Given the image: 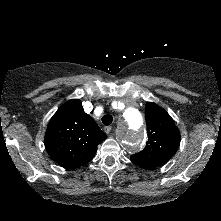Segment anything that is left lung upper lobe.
<instances>
[{"instance_id":"left-lung-upper-lobe-1","label":"left lung upper lobe","mask_w":221,"mask_h":221,"mask_svg":"<svg viewBox=\"0 0 221 221\" xmlns=\"http://www.w3.org/2000/svg\"><path fill=\"white\" fill-rule=\"evenodd\" d=\"M145 116L147 144L141 152L132 155L130 159L144 169H152L172 158L180 145V133L170 115L156 103H146Z\"/></svg>"}]
</instances>
